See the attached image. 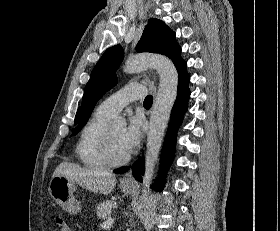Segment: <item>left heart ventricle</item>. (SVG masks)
Masks as SVG:
<instances>
[{
	"instance_id": "left-heart-ventricle-1",
	"label": "left heart ventricle",
	"mask_w": 280,
	"mask_h": 231,
	"mask_svg": "<svg viewBox=\"0 0 280 231\" xmlns=\"http://www.w3.org/2000/svg\"><path fill=\"white\" fill-rule=\"evenodd\" d=\"M123 130V127L121 126H109V132H110V143L112 147V152L114 156L116 157H122L126 155L119 145V136Z\"/></svg>"
}]
</instances>
